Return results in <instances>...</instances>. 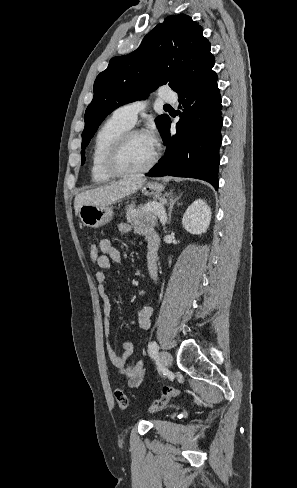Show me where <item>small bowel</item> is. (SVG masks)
Here are the masks:
<instances>
[{"mask_svg": "<svg viewBox=\"0 0 297 488\" xmlns=\"http://www.w3.org/2000/svg\"><path fill=\"white\" fill-rule=\"evenodd\" d=\"M121 233H128L133 230L140 235L147 244V266L150 277L154 282L158 281V266H157V252L159 247V236L149 226L137 225L133 228L126 223H121L118 226ZM100 256L97 261L99 270L95 274L98 284V291L102 300L103 314H104V329L106 334H109L111 328V300L107 292V270L111 262L119 263L121 261V253L114 246L110 239L104 238L99 241ZM154 314V308L146 306L140 309L137 313V322L141 329L147 330L151 326V319ZM117 352L111 342L107 343V350L112 364L116 367L119 373L128 381L131 388L138 387L144 379L145 369L142 360H137L130 363L129 359L133 352V344L130 342H123L119 345Z\"/></svg>", "mask_w": 297, "mask_h": 488, "instance_id": "small-bowel-1", "label": "small bowel"}]
</instances>
